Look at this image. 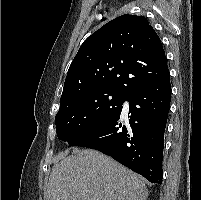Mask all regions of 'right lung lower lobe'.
Returning <instances> with one entry per match:
<instances>
[{"label": "right lung lower lobe", "mask_w": 201, "mask_h": 200, "mask_svg": "<svg viewBox=\"0 0 201 200\" xmlns=\"http://www.w3.org/2000/svg\"><path fill=\"white\" fill-rule=\"evenodd\" d=\"M170 98L168 71L160 79L127 96L128 122H122L121 106L104 121L70 142L69 146L99 150L151 183L161 184L164 132Z\"/></svg>", "instance_id": "1"}]
</instances>
